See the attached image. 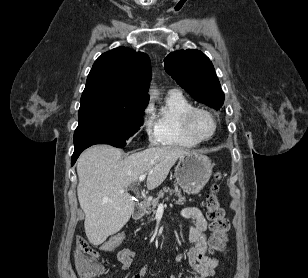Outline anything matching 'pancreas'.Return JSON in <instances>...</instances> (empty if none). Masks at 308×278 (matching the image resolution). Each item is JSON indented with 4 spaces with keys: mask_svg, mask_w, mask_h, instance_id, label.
<instances>
[{
    "mask_svg": "<svg viewBox=\"0 0 308 278\" xmlns=\"http://www.w3.org/2000/svg\"><path fill=\"white\" fill-rule=\"evenodd\" d=\"M169 193L170 195L174 194L175 196L178 197V200L176 201V204H182L183 201H184V198L182 197L181 195V191L180 189H178V186L175 185V188L174 190L170 189V188H167V187H164L163 190H161L157 197L152 199L151 201H145L144 202V207L147 209V212L148 213H155V208L157 207L158 205V202H159V199L161 197L164 196L165 193ZM168 200V198H167Z\"/></svg>",
    "mask_w": 308,
    "mask_h": 278,
    "instance_id": "obj_1",
    "label": "pancreas"
}]
</instances>
